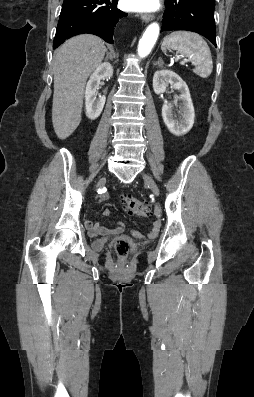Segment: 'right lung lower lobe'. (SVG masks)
I'll list each match as a JSON object with an SVG mask.
<instances>
[{
    "label": "right lung lower lobe",
    "mask_w": 254,
    "mask_h": 397,
    "mask_svg": "<svg viewBox=\"0 0 254 397\" xmlns=\"http://www.w3.org/2000/svg\"><path fill=\"white\" fill-rule=\"evenodd\" d=\"M118 0H64L53 48L66 39L84 33L95 34L113 43V34L128 14L117 9Z\"/></svg>",
    "instance_id": "98d812e1"
}]
</instances>
